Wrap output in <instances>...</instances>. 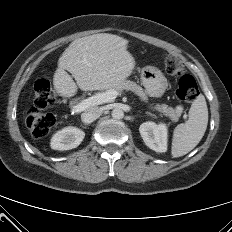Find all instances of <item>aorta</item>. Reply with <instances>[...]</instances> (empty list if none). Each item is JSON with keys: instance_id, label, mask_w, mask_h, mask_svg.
Wrapping results in <instances>:
<instances>
[{"instance_id": "1", "label": "aorta", "mask_w": 232, "mask_h": 232, "mask_svg": "<svg viewBox=\"0 0 232 232\" xmlns=\"http://www.w3.org/2000/svg\"><path fill=\"white\" fill-rule=\"evenodd\" d=\"M111 115L114 119H122L124 117V112L119 108H115L112 110Z\"/></svg>"}]
</instances>
